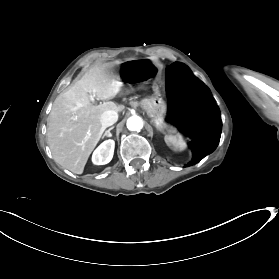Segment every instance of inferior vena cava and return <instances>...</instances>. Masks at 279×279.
<instances>
[{"instance_id":"obj_1","label":"inferior vena cava","mask_w":279,"mask_h":279,"mask_svg":"<svg viewBox=\"0 0 279 279\" xmlns=\"http://www.w3.org/2000/svg\"><path fill=\"white\" fill-rule=\"evenodd\" d=\"M117 120H118L117 112H115L114 110L105 111L101 115L100 121L102 122V126H103L101 129L104 130L105 128L114 124Z\"/></svg>"}]
</instances>
